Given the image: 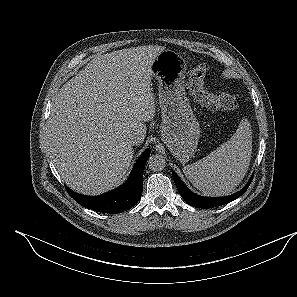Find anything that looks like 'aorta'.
Here are the masks:
<instances>
[{
	"instance_id": "obj_1",
	"label": "aorta",
	"mask_w": 297,
	"mask_h": 297,
	"mask_svg": "<svg viewBox=\"0 0 297 297\" xmlns=\"http://www.w3.org/2000/svg\"><path fill=\"white\" fill-rule=\"evenodd\" d=\"M148 166L152 171H161L165 168V159L162 155H152L149 157L148 161Z\"/></svg>"
}]
</instances>
